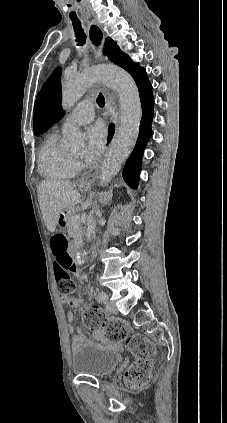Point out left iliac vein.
Here are the masks:
<instances>
[{"label": "left iliac vein", "mask_w": 227, "mask_h": 423, "mask_svg": "<svg viewBox=\"0 0 227 423\" xmlns=\"http://www.w3.org/2000/svg\"><path fill=\"white\" fill-rule=\"evenodd\" d=\"M100 294V293H99ZM105 303H106V308H107V310L110 312V313H112V314H117V308L111 303V302H108L107 300L105 301Z\"/></svg>", "instance_id": "obj_1"}]
</instances>
